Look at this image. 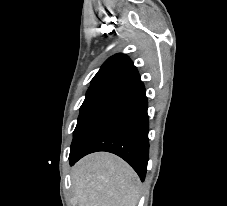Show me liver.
Segmentation results:
<instances>
[{
    "label": "liver",
    "instance_id": "1",
    "mask_svg": "<svg viewBox=\"0 0 227 206\" xmlns=\"http://www.w3.org/2000/svg\"><path fill=\"white\" fill-rule=\"evenodd\" d=\"M78 206H136L140 196L135 171L116 155L99 152L82 158L72 169Z\"/></svg>",
    "mask_w": 227,
    "mask_h": 206
}]
</instances>
